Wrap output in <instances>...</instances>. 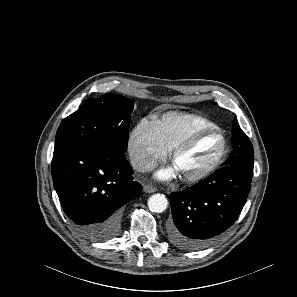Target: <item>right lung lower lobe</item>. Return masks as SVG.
Listing matches in <instances>:
<instances>
[{"instance_id": "98d812e1", "label": "right lung lower lobe", "mask_w": 297, "mask_h": 297, "mask_svg": "<svg viewBox=\"0 0 297 297\" xmlns=\"http://www.w3.org/2000/svg\"><path fill=\"white\" fill-rule=\"evenodd\" d=\"M123 152L97 143L55 146L53 184L65 214L83 236L105 241L120 231L122 206L142 186Z\"/></svg>"}]
</instances>
